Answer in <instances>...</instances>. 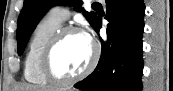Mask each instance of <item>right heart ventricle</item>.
Returning a JSON list of instances; mask_svg holds the SVG:
<instances>
[{"label":"right heart ventricle","instance_id":"e07e8e85","mask_svg":"<svg viewBox=\"0 0 173 91\" xmlns=\"http://www.w3.org/2000/svg\"><path fill=\"white\" fill-rule=\"evenodd\" d=\"M52 13L44 16L35 26L30 38L24 62L25 79L36 86H46L48 81L41 75L39 60L42 50L50 37L61 27Z\"/></svg>","mask_w":173,"mask_h":91}]
</instances>
